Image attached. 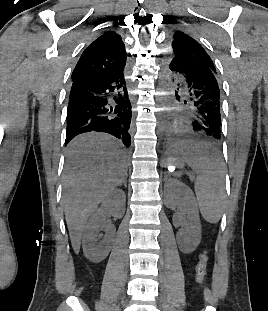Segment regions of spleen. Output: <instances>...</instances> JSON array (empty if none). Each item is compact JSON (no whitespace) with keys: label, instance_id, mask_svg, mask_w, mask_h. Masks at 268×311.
I'll return each mask as SVG.
<instances>
[{"label":"spleen","instance_id":"spleen-1","mask_svg":"<svg viewBox=\"0 0 268 311\" xmlns=\"http://www.w3.org/2000/svg\"><path fill=\"white\" fill-rule=\"evenodd\" d=\"M186 145L190 155L186 162L197 175L195 193L200 212L207 222L217 223L225 200L220 152L207 140H187Z\"/></svg>","mask_w":268,"mask_h":311}]
</instances>
